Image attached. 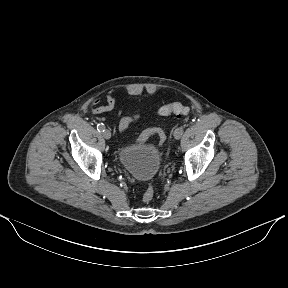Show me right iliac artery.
Masks as SVG:
<instances>
[{"mask_svg": "<svg viewBox=\"0 0 288 288\" xmlns=\"http://www.w3.org/2000/svg\"><path fill=\"white\" fill-rule=\"evenodd\" d=\"M97 130H98L99 132H103V131L105 130L104 124H103V123H99V124L97 125Z\"/></svg>", "mask_w": 288, "mask_h": 288, "instance_id": "obj_1", "label": "right iliac artery"}]
</instances>
